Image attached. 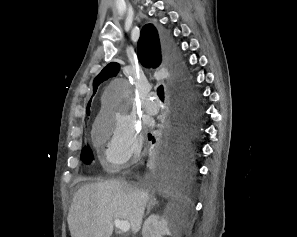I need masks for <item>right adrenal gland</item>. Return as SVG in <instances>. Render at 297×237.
I'll return each instance as SVG.
<instances>
[{
  "label": "right adrenal gland",
  "instance_id": "obj_1",
  "mask_svg": "<svg viewBox=\"0 0 297 237\" xmlns=\"http://www.w3.org/2000/svg\"><path fill=\"white\" fill-rule=\"evenodd\" d=\"M154 205H158V202L156 201V199L154 197H150V201H149V204L147 206V214L150 213V210L151 208L154 206Z\"/></svg>",
  "mask_w": 297,
  "mask_h": 237
}]
</instances>
